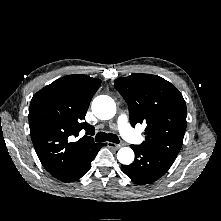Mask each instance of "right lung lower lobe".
Segmentation results:
<instances>
[{
    "instance_id": "right-lung-lower-lobe-1",
    "label": "right lung lower lobe",
    "mask_w": 221,
    "mask_h": 221,
    "mask_svg": "<svg viewBox=\"0 0 221 221\" xmlns=\"http://www.w3.org/2000/svg\"><path fill=\"white\" fill-rule=\"evenodd\" d=\"M106 144H100L90 155H88L81 163L62 172L61 174L55 176L57 179L63 182H72L80 179L84 174L88 172L91 167V162L95 158L96 154L102 146Z\"/></svg>"
}]
</instances>
